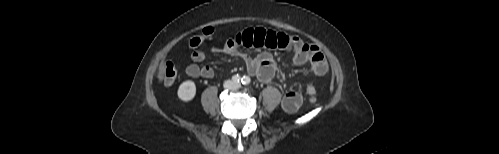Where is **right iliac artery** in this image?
<instances>
[{"label":"right iliac artery","mask_w":499,"mask_h":154,"mask_svg":"<svg viewBox=\"0 0 499 154\" xmlns=\"http://www.w3.org/2000/svg\"><path fill=\"white\" fill-rule=\"evenodd\" d=\"M241 76L236 74L232 77V80L235 82V83H239L241 81Z\"/></svg>","instance_id":"1"}]
</instances>
